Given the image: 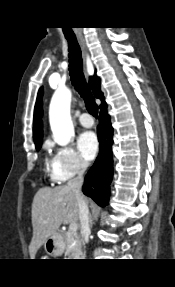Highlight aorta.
Wrapping results in <instances>:
<instances>
[{"label":"aorta","mask_w":175,"mask_h":287,"mask_svg":"<svg viewBox=\"0 0 175 287\" xmlns=\"http://www.w3.org/2000/svg\"><path fill=\"white\" fill-rule=\"evenodd\" d=\"M72 93L67 88L58 89L50 103L49 120L54 141L66 146L74 136V127L70 115Z\"/></svg>","instance_id":"aorta-1"}]
</instances>
